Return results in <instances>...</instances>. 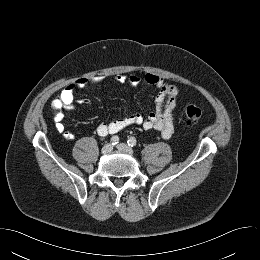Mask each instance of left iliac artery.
<instances>
[{
  "label": "left iliac artery",
  "instance_id": "44dca946",
  "mask_svg": "<svg viewBox=\"0 0 260 260\" xmlns=\"http://www.w3.org/2000/svg\"><path fill=\"white\" fill-rule=\"evenodd\" d=\"M127 143L130 147H134V146H136L137 141L134 137H131L128 139Z\"/></svg>",
  "mask_w": 260,
  "mask_h": 260
}]
</instances>
